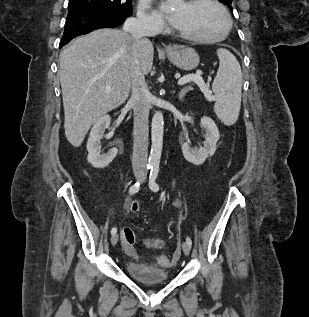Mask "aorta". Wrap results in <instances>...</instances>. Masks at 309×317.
Instances as JSON below:
<instances>
[{"label": "aorta", "instance_id": "762f6f07", "mask_svg": "<svg viewBox=\"0 0 309 317\" xmlns=\"http://www.w3.org/2000/svg\"><path fill=\"white\" fill-rule=\"evenodd\" d=\"M169 5L176 4L181 0H167ZM164 119L160 111L155 112L151 125V152L148 163L151 167H157L160 164L162 146H163Z\"/></svg>", "mask_w": 309, "mask_h": 317}]
</instances>
